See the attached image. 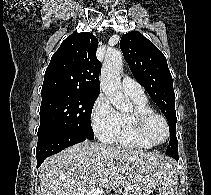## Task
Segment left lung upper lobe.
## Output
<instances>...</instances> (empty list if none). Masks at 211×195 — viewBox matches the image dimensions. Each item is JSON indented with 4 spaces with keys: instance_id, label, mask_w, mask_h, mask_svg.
<instances>
[{
    "instance_id": "left-lung-upper-lobe-1",
    "label": "left lung upper lobe",
    "mask_w": 211,
    "mask_h": 195,
    "mask_svg": "<svg viewBox=\"0 0 211 195\" xmlns=\"http://www.w3.org/2000/svg\"><path fill=\"white\" fill-rule=\"evenodd\" d=\"M120 48L133 76L146 89L168 121L170 141L166 153L171 157L177 155L175 93L166 57L137 31L124 34Z\"/></svg>"
}]
</instances>
